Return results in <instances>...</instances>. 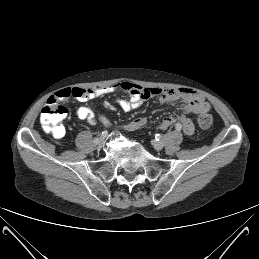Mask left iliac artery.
Returning a JSON list of instances; mask_svg holds the SVG:
<instances>
[{"mask_svg":"<svg viewBox=\"0 0 259 259\" xmlns=\"http://www.w3.org/2000/svg\"><path fill=\"white\" fill-rule=\"evenodd\" d=\"M176 130H181V125L180 124H176ZM159 135V134H158Z\"/></svg>","mask_w":259,"mask_h":259,"instance_id":"1","label":"left iliac artery"}]
</instances>
